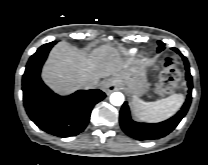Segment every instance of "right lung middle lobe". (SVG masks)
<instances>
[{"instance_id": "dd1d6c3e", "label": "right lung middle lobe", "mask_w": 208, "mask_h": 165, "mask_svg": "<svg viewBox=\"0 0 208 165\" xmlns=\"http://www.w3.org/2000/svg\"><path fill=\"white\" fill-rule=\"evenodd\" d=\"M55 43H56V41H53V42H51V43H47V44L41 46L39 49H41V48H43V47H45V46H47V45H49V44H55Z\"/></svg>"}]
</instances>
